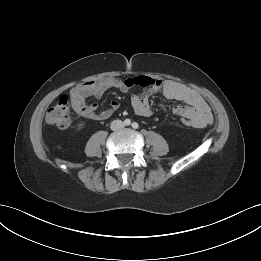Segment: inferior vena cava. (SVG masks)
<instances>
[{
	"mask_svg": "<svg viewBox=\"0 0 261 261\" xmlns=\"http://www.w3.org/2000/svg\"><path fill=\"white\" fill-rule=\"evenodd\" d=\"M124 127V123L121 120H114L111 122L110 128L113 131L119 130Z\"/></svg>",
	"mask_w": 261,
	"mask_h": 261,
	"instance_id": "602c4592",
	"label": "inferior vena cava"
}]
</instances>
